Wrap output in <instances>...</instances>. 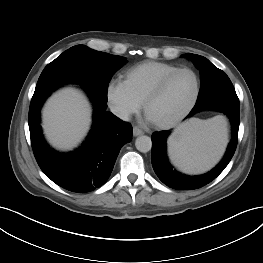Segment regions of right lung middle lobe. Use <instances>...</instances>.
<instances>
[{"mask_svg": "<svg viewBox=\"0 0 263 263\" xmlns=\"http://www.w3.org/2000/svg\"><path fill=\"white\" fill-rule=\"evenodd\" d=\"M125 63L122 56L95 51L84 45L73 46L44 68L33 96L43 95L63 84L74 83L107 103L108 83Z\"/></svg>", "mask_w": 263, "mask_h": 263, "instance_id": "obj_1", "label": "right lung middle lobe"}]
</instances>
